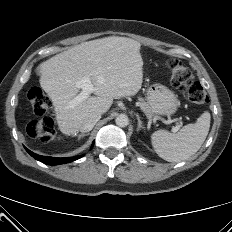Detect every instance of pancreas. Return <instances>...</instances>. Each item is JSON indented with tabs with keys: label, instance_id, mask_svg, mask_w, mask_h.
<instances>
[{
	"label": "pancreas",
	"instance_id": "pancreas-1",
	"mask_svg": "<svg viewBox=\"0 0 232 232\" xmlns=\"http://www.w3.org/2000/svg\"><path fill=\"white\" fill-rule=\"evenodd\" d=\"M139 106L145 112V114L147 116H152L153 115L152 109L150 108V106L143 99H140Z\"/></svg>",
	"mask_w": 232,
	"mask_h": 232
}]
</instances>
